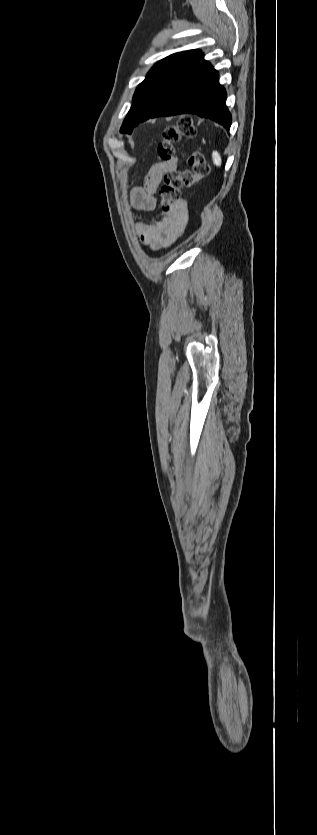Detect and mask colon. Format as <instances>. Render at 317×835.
Returning a JSON list of instances; mask_svg holds the SVG:
<instances>
[{
  "instance_id": "obj_1",
  "label": "colon",
  "mask_w": 317,
  "mask_h": 835,
  "mask_svg": "<svg viewBox=\"0 0 317 835\" xmlns=\"http://www.w3.org/2000/svg\"><path fill=\"white\" fill-rule=\"evenodd\" d=\"M197 130L190 117H182L175 125L167 127L162 133V139L157 147V153L163 160H170L176 154L175 145L184 138H192ZM189 169L171 171L163 176L160 189L161 208L170 211L180 204L181 190L190 187L204 179L210 173V165L205 156L199 152H192L187 159Z\"/></svg>"
}]
</instances>
